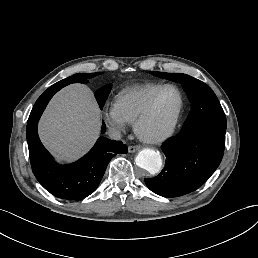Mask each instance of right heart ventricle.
Here are the masks:
<instances>
[{
  "instance_id": "right-heart-ventricle-1",
  "label": "right heart ventricle",
  "mask_w": 258,
  "mask_h": 258,
  "mask_svg": "<svg viewBox=\"0 0 258 258\" xmlns=\"http://www.w3.org/2000/svg\"><path fill=\"white\" fill-rule=\"evenodd\" d=\"M158 87L159 84L148 83L125 88L116 95L115 105L127 122H135L148 98Z\"/></svg>"
}]
</instances>
